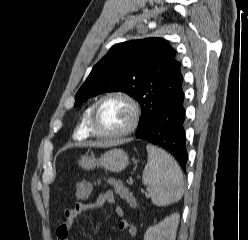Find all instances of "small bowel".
<instances>
[{
	"label": "small bowel",
	"instance_id": "obj_1",
	"mask_svg": "<svg viewBox=\"0 0 248 240\" xmlns=\"http://www.w3.org/2000/svg\"><path fill=\"white\" fill-rule=\"evenodd\" d=\"M105 204H111L115 206V214L121 218L119 223V229L128 233L131 237H135L137 233L136 226L128 219L124 218L125 212L121 206L117 204V199L112 191H106L100 193L96 200L93 202H80L77 203L73 208L68 209L65 213V221L61 224L57 231L56 236L58 240H68L70 230L73 227L75 220L92 210L102 208Z\"/></svg>",
	"mask_w": 248,
	"mask_h": 240
}]
</instances>
